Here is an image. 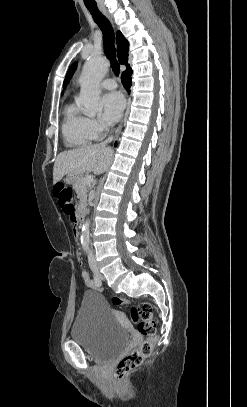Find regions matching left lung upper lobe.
<instances>
[{
    "label": "left lung upper lobe",
    "instance_id": "obj_1",
    "mask_svg": "<svg viewBox=\"0 0 247 407\" xmlns=\"http://www.w3.org/2000/svg\"><path fill=\"white\" fill-rule=\"evenodd\" d=\"M76 68H77V64H76V62H75V63H73V65L70 67V69H69V71H68V73H67V75H66V77H65V80H64V87H66L67 84L69 83V81H70L71 77L73 76V74H74Z\"/></svg>",
    "mask_w": 247,
    "mask_h": 407
}]
</instances>
